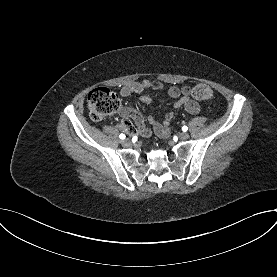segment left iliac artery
Wrapping results in <instances>:
<instances>
[{"label":"left iliac artery","mask_w":277,"mask_h":277,"mask_svg":"<svg viewBox=\"0 0 277 277\" xmlns=\"http://www.w3.org/2000/svg\"><path fill=\"white\" fill-rule=\"evenodd\" d=\"M182 130L185 132V131L188 130V127H187V126H183V127H182Z\"/></svg>","instance_id":"1"}]
</instances>
